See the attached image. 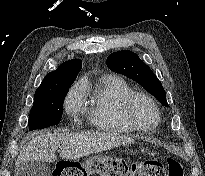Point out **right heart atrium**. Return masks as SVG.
<instances>
[{
	"label": "right heart atrium",
	"mask_w": 205,
	"mask_h": 176,
	"mask_svg": "<svg viewBox=\"0 0 205 176\" xmlns=\"http://www.w3.org/2000/svg\"><path fill=\"white\" fill-rule=\"evenodd\" d=\"M83 90L81 84L74 85L66 95L64 108L70 117H76L82 111Z\"/></svg>",
	"instance_id": "obj_1"
}]
</instances>
